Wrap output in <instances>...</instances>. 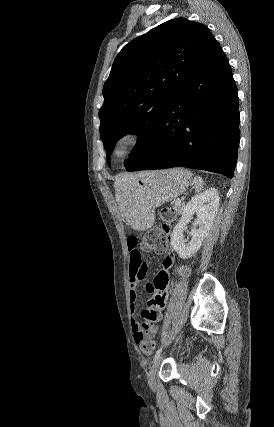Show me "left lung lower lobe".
<instances>
[{"mask_svg": "<svg viewBox=\"0 0 274 427\" xmlns=\"http://www.w3.org/2000/svg\"><path fill=\"white\" fill-rule=\"evenodd\" d=\"M237 88L214 39L184 80L147 151L127 171L187 167L232 178L240 130Z\"/></svg>", "mask_w": 274, "mask_h": 427, "instance_id": "1", "label": "left lung lower lobe"}]
</instances>
